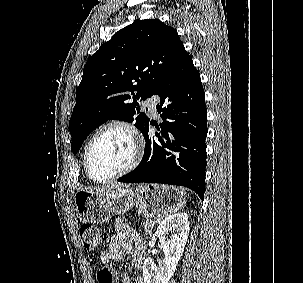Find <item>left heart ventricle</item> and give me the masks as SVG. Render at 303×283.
I'll use <instances>...</instances> for the list:
<instances>
[{"label":"left heart ventricle","instance_id":"1","mask_svg":"<svg viewBox=\"0 0 303 283\" xmlns=\"http://www.w3.org/2000/svg\"><path fill=\"white\" fill-rule=\"evenodd\" d=\"M133 142L129 134L119 128H111L100 134L89 152V168L96 178H105L122 168L132 159Z\"/></svg>","mask_w":303,"mask_h":283}]
</instances>
